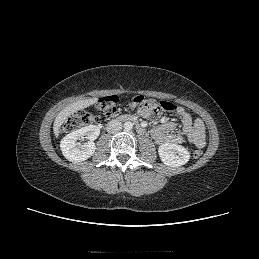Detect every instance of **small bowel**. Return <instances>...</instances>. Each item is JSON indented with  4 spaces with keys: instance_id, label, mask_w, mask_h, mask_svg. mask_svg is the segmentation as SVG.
Listing matches in <instances>:
<instances>
[{
    "instance_id": "1",
    "label": "small bowel",
    "mask_w": 259,
    "mask_h": 259,
    "mask_svg": "<svg viewBox=\"0 0 259 259\" xmlns=\"http://www.w3.org/2000/svg\"><path fill=\"white\" fill-rule=\"evenodd\" d=\"M174 111L181 120L182 131L176 132V123L167 121L152 129L151 135L153 139L158 144L188 142L197 148L204 147L206 144V131L203 122L200 119H193L181 106H176ZM139 114L143 117L149 116L140 109Z\"/></svg>"
}]
</instances>
